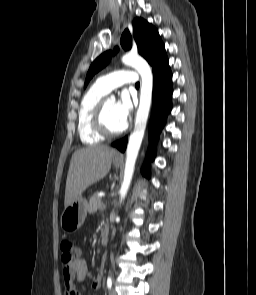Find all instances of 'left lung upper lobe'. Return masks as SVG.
Returning <instances> with one entry per match:
<instances>
[{
	"mask_svg": "<svg viewBox=\"0 0 256 295\" xmlns=\"http://www.w3.org/2000/svg\"><path fill=\"white\" fill-rule=\"evenodd\" d=\"M133 38L137 44L138 52L143 56L154 69L168 64L165 47L158 31L147 21L137 18L133 22ZM123 49L129 50L132 47V36L130 31L126 29L120 39ZM118 47L114 49V53L118 52ZM112 52L107 51L101 54L91 64L85 80V87L95 73L105 67L111 60Z\"/></svg>",
	"mask_w": 256,
	"mask_h": 295,
	"instance_id": "5c2ea615",
	"label": "left lung upper lobe"
}]
</instances>
